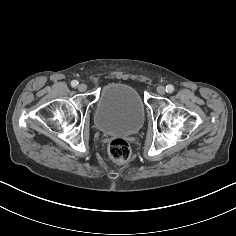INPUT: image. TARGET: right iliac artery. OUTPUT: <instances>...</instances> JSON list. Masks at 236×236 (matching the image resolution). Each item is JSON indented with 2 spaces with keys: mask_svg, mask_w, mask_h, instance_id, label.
<instances>
[{
  "mask_svg": "<svg viewBox=\"0 0 236 236\" xmlns=\"http://www.w3.org/2000/svg\"><path fill=\"white\" fill-rule=\"evenodd\" d=\"M78 85V81L77 80H73L72 82H71V86L72 87H76Z\"/></svg>",
  "mask_w": 236,
  "mask_h": 236,
  "instance_id": "obj_1",
  "label": "right iliac artery"
}]
</instances>
